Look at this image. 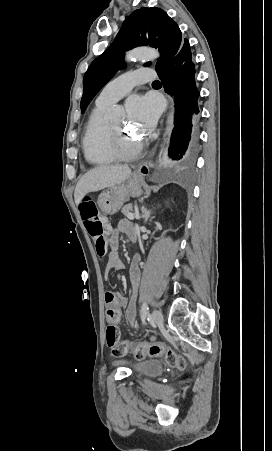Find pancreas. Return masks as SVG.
<instances>
[{
  "instance_id": "1",
  "label": "pancreas",
  "mask_w": 272,
  "mask_h": 451,
  "mask_svg": "<svg viewBox=\"0 0 272 451\" xmlns=\"http://www.w3.org/2000/svg\"><path fill=\"white\" fill-rule=\"evenodd\" d=\"M133 210V204H126V206H124V208H122V214H124V216H128V214H130V212H132Z\"/></svg>"
}]
</instances>
